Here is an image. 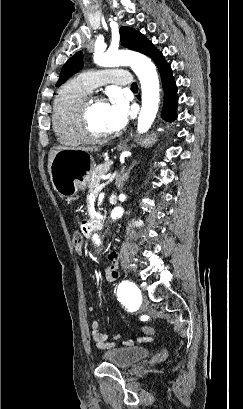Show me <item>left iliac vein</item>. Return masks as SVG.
Masks as SVG:
<instances>
[{
    "label": "left iliac vein",
    "instance_id": "obj_1",
    "mask_svg": "<svg viewBox=\"0 0 243 409\" xmlns=\"http://www.w3.org/2000/svg\"><path fill=\"white\" fill-rule=\"evenodd\" d=\"M147 305H148L147 299H146L145 297H143V299H142V307H143V308H146Z\"/></svg>",
    "mask_w": 243,
    "mask_h": 409
}]
</instances>
